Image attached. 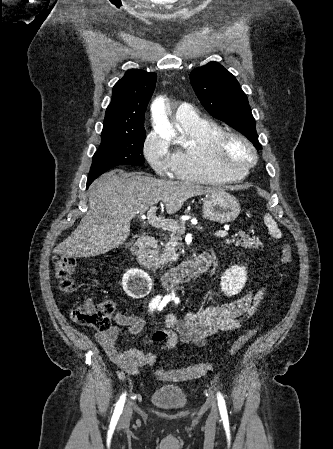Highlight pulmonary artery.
<instances>
[{
	"mask_svg": "<svg viewBox=\"0 0 333 449\" xmlns=\"http://www.w3.org/2000/svg\"><path fill=\"white\" fill-rule=\"evenodd\" d=\"M198 119L194 108L188 103H182L176 110L175 120L177 123H191Z\"/></svg>",
	"mask_w": 333,
	"mask_h": 449,
	"instance_id": "pulmonary-artery-1",
	"label": "pulmonary artery"
}]
</instances>
